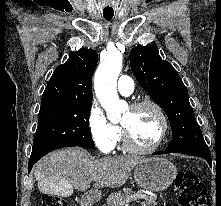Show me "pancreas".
<instances>
[{"mask_svg": "<svg viewBox=\"0 0 221 206\" xmlns=\"http://www.w3.org/2000/svg\"><path fill=\"white\" fill-rule=\"evenodd\" d=\"M134 195H141L142 196V205L143 206H157L156 199L152 196L145 195L142 193H135L131 189H125L124 192H117L113 193L108 196L106 203L102 206H124L125 200Z\"/></svg>", "mask_w": 221, "mask_h": 206, "instance_id": "cf45deb5", "label": "pancreas"}]
</instances>
